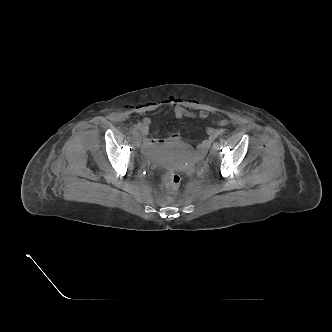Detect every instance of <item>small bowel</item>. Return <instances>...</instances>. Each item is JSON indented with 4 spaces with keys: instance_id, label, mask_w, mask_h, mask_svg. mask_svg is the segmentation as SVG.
<instances>
[{
    "instance_id": "obj_1",
    "label": "small bowel",
    "mask_w": 332,
    "mask_h": 332,
    "mask_svg": "<svg viewBox=\"0 0 332 332\" xmlns=\"http://www.w3.org/2000/svg\"><path fill=\"white\" fill-rule=\"evenodd\" d=\"M161 106H171L173 108L174 116L177 119L183 118H198V119H206L208 117V113L206 111H199L198 113H193L189 111L185 107V103L183 100L177 97H169L166 100L151 103L148 106L149 110H155ZM229 124V120L227 118L220 119L214 122V125L206 127L207 138L201 142L198 146L199 153L203 154L209 148L211 143L220 135L225 132V127ZM151 125V119L148 117L143 118L138 124L137 128L140 133L144 136L143 139V150L146 153H150L151 150L155 147L160 146L163 143V140H155L150 141L146 136L149 133ZM179 137L174 135L171 140H178Z\"/></svg>"
}]
</instances>
